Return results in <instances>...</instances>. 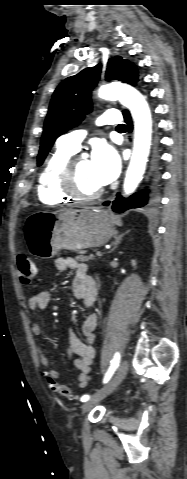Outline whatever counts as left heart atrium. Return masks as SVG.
<instances>
[{
  "instance_id": "left-heart-atrium-1",
  "label": "left heart atrium",
  "mask_w": 187,
  "mask_h": 479,
  "mask_svg": "<svg viewBox=\"0 0 187 479\" xmlns=\"http://www.w3.org/2000/svg\"><path fill=\"white\" fill-rule=\"evenodd\" d=\"M91 167L95 180L101 186L117 178L121 161L116 150L104 141L97 142L92 150Z\"/></svg>"
}]
</instances>
